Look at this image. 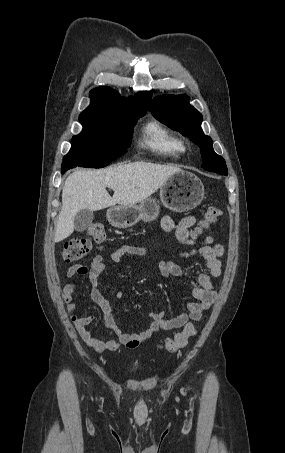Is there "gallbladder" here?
Returning a JSON list of instances; mask_svg holds the SVG:
<instances>
[{"label": "gallbladder", "mask_w": 285, "mask_h": 453, "mask_svg": "<svg viewBox=\"0 0 285 453\" xmlns=\"http://www.w3.org/2000/svg\"><path fill=\"white\" fill-rule=\"evenodd\" d=\"M94 218V213L89 209L80 210L74 219L75 230L82 232L91 224Z\"/></svg>", "instance_id": "obj_1"}]
</instances>
